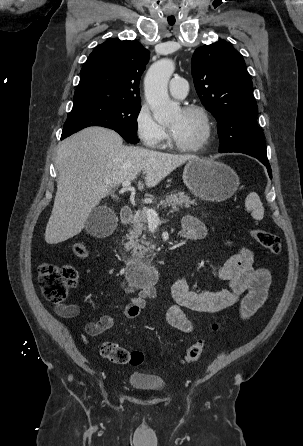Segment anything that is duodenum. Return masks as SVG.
Masks as SVG:
<instances>
[{
    "instance_id": "duodenum-1",
    "label": "duodenum",
    "mask_w": 303,
    "mask_h": 446,
    "mask_svg": "<svg viewBox=\"0 0 303 446\" xmlns=\"http://www.w3.org/2000/svg\"><path fill=\"white\" fill-rule=\"evenodd\" d=\"M133 219V212L130 208H123L120 213L122 224H129ZM128 279L132 286L141 287L155 282L158 276V268L154 264L141 262L138 260H128Z\"/></svg>"
}]
</instances>
